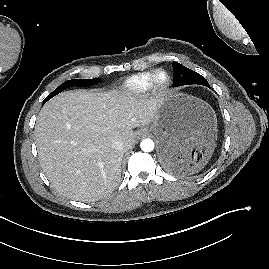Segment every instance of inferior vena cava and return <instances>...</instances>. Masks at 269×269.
<instances>
[{"label":"inferior vena cava","instance_id":"inferior-vena-cava-1","mask_svg":"<svg viewBox=\"0 0 269 269\" xmlns=\"http://www.w3.org/2000/svg\"><path fill=\"white\" fill-rule=\"evenodd\" d=\"M112 147L116 150H123L124 149V143L121 139H116L112 142Z\"/></svg>","mask_w":269,"mask_h":269}]
</instances>
